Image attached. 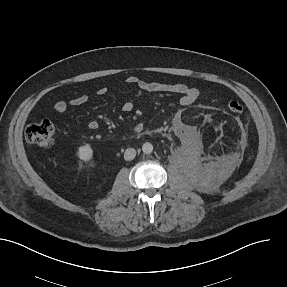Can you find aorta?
Instances as JSON below:
<instances>
[{"label":"aorta","mask_w":287,"mask_h":287,"mask_svg":"<svg viewBox=\"0 0 287 287\" xmlns=\"http://www.w3.org/2000/svg\"><path fill=\"white\" fill-rule=\"evenodd\" d=\"M142 151L144 154H150L153 151V145L149 142H146L142 146Z\"/></svg>","instance_id":"1"}]
</instances>
